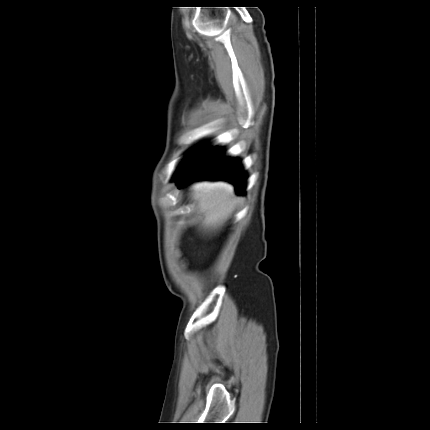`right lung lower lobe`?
<instances>
[{"label":"right lung lower lobe","mask_w":430,"mask_h":430,"mask_svg":"<svg viewBox=\"0 0 430 430\" xmlns=\"http://www.w3.org/2000/svg\"><path fill=\"white\" fill-rule=\"evenodd\" d=\"M197 179H222L232 182L239 194L245 192L246 176L240 161L225 158L221 149L212 148L174 177L180 186Z\"/></svg>","instance_id":"1"}]
</instances>
